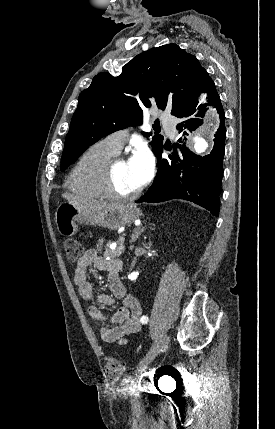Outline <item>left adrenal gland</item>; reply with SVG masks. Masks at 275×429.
<instances>
[{"label":"left adrenal gland","mask_w":275,"mask_h":429,"mask_svg":"<svg viewBox=\"0 0 275 429\" xmlns=\"http://www.w3.org/2000/svg\"><path fill=\"white\" fill-rule=\"evenodd\" d=\"M145 227H143V225L141 224L137 229H135L131 235V240L130 242H135L139 236L141 235L142 232H144Z\"/></svg>","instance_id":"a2214340"}]
</instances>
